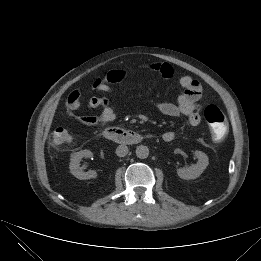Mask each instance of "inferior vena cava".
<instances>
[{
    "mask_svg": "<svg viewBox=\"0 0 261 261\" xmlns=\"http://www.w3.org/2000/svg\"><path fill=\"white\" fill-rule=\"evenodd\" d=\"M128 147L126 145H119L116 149V154L119 157H124L128 154Z\"/></svg>",
    "mask_w": 261,
    "mask_h": 261,
    "instance_id": "1",
    "label": "inferior vena cava"
}]
</instances>
